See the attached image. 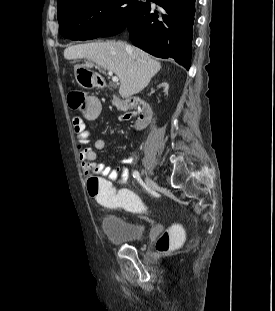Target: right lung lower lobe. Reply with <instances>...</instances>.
Returning a JSON list of instances; mask_svg holds the SVG:
<instances>
[{
  "label": "right lung lower lobe",
  "instance_id": "right-lung-lower-lobe-1",
  "mask_svg": "<svg viewBox=\"0 0 275 311\" xmlns=\"http://www.w3.org/2000/svg\"><path fill=\"white\" fill-rule=\"evenodd\" d=\"M162 10L149 5L128 22L132 43L144 51L161 58H173L189 70L191 65L192 32L196 0H151ZM88 33L79 40L95 38Z\"/></svg>",
  "mask_w": 275,
  "mask_h": 311
}]
</instances>
